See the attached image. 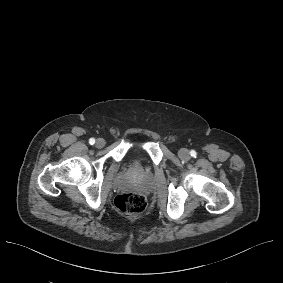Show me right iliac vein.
Masks as SVG:
<instances>
[{
  "label": "right iliac vein",
  "instance_id": "63e3f726",
  "mask_svg": "<svg viewBox=\"0 0 283 283\" xmlns=\"http://www.w3.org/2000/svg\"><path fill=\"white\" fill-rule=\"evenodd\" d=\"M95 146L97 148H103L105 146V140L103 138H98L96 140Z\"/></svg>",
  "mask_w": 283,
  "mask_h": 283
}]
</instances>
